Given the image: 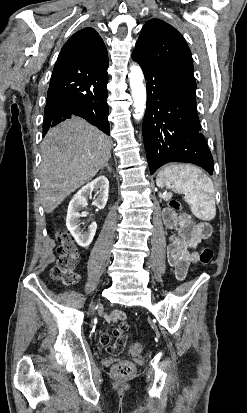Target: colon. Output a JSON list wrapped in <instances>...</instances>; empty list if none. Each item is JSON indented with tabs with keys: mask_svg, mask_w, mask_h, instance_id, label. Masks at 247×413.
Returning <instances> with one entry per match:
<instances>
[{
	"mask_svg": "<svg viewBox=\"0 0 247 413\" xmlns=\"http://www.w3.org/2000/svg\"><path fill=\"white\" fill-rule=\"evenodd\" d=\"M167 204H172L174 210L181 209V204L176 199L168 200ZM55 236L59 243V259L56 265L51 268L50 275L52 279L62 284H74L78 279L77 273L74 272V268L78 261L77 248L73 242L71 234L66 230H57ZM213 256V251L210 248H202L199 254V260L202 266L205 268L209 267L211 264L210 262L213 260ZM128 342L132 343L133 339L129 338ZM130 347V354L139 355L141 353L139 343H132L130 344ZM135 372V365L128 361L121 362L114 367L117 381H128L129 377L133 376Z\"/></svg>",
	"mask_w": 247,
	"mask_h": 413,
	"instance_id": "1",
	"label": "colon"
}]
</instances>
